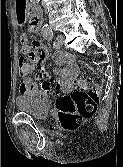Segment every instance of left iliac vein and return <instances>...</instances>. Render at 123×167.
I'll use <instances>...</instances> for the list:
<instances>
[{"instance_id": "1", "label": "left iliac vein", "mask_w": 123, "mask_h": 167, "mask_svg": "<svg viewBox=\"0 0 123 167\" xmlns=\"http://www.w3.org/2000/svg\"><path fill=\"white\" fill-rule=\"evenodd\" d=\"M63 39H64V37L62 35H57L55 48L59 49L63 46Z\"/></svg>"}]
</instances>
